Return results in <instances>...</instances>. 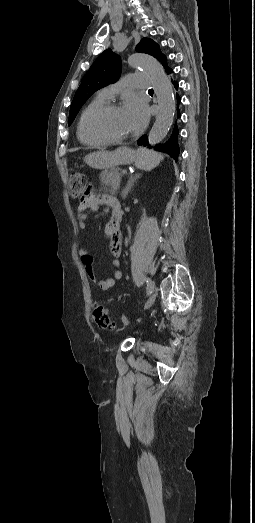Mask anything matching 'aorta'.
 <instances>
[{
    "mask_svg": "<svg viewBox=\"0 0 255 523\" xmlns=\"http://www.w3.org/2000/svg\"><path fill=\"white\" fill-rule=\"evenodd\" d=\"M127 62L132 67L141 68L149 76L156 94L159 112L148 135L149 143L155 145L166 137L174 120L176 102L172 84L162 65L149 55L135 53L128 57Z\"/></svg>",
    "mask_w": 255,
    "mask_h": 523,
    "instance_id": "1",
    "label": "aorta"
}]
</instances>
